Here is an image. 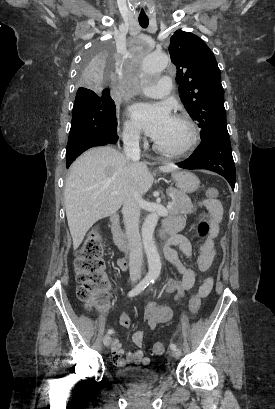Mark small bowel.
I'll use <instances>...</instances> for the list:
<instances>
[{
  "mask_svg": "<svg viewBox=\"0 0 275 409\" xmlns=\"http://www.w3.org/2000/svg\"><path fill=\"white\" fill-rule=\"evenodd\" d=\"M198 205L203 209L201 215L208 217L211 224L210 233L206 240L199 247L197 258L199 270L201 272H205L210 269L215 258V239L219 232V225L221 222L223 211L219 201L202 199L198 202ZM170 220L182 221L178 218H173ZM170 245L177 246L187 259L191 258L193 253L192 245L189 239L184 235L174 234L170 240ZM169 248L170 253L169 255L165 254V256L167 260L176 268L182 278L180 281L169 280L165 283L164 287L167 290L174 292L176 294L177 300H181L186 294L191 293L195 285L196 276L194 270L181 261L178 253L174 250V248L171 246H169ZM212 286L213 279L207 278L201 287V289L205 291V296L209 294ZM142 314L147 328L155 329L158 325L166 323L170 320L172 316V310L167 305H159L152 302H146L142 305ZM121 318H125L122 319L120 323L122 328L132 327L133 323L129 316H127L126 314H122ZM143 339L144 333L142 331H137L133 335V341L139 347L142 346ZM111 350L114 363L117 366L122 367L138 362L144 365L150 363V359L143 356L141 350L124 355L121 349V343L117 339L113 341Z\"/></svg>",
  "mask_w": 275,
  "mask_h": 409,
  "instance_id": "1",
  "label": "small bowel"
}]
</instances>
